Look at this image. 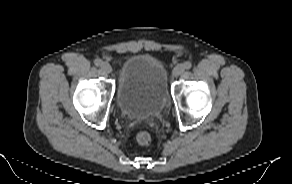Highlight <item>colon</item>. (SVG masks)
<instances>
[{
	"instance_id": "obj_1",
	"label": "colon",
	"mask_w": 292,
	"mask_h": 184,
	"mask_svg": "<svg viewBox=\"0 0 292 184\" xmlns=\"http://www.w3.org/2000/svg\"><path fill=\"white\" fill-rule=\"evenodd\" d=\"M136 140H137L139 145L148 146V145H150L152 138L148 132L142 131V132L138 133Z\"/></svg>"
}]
</instances>
